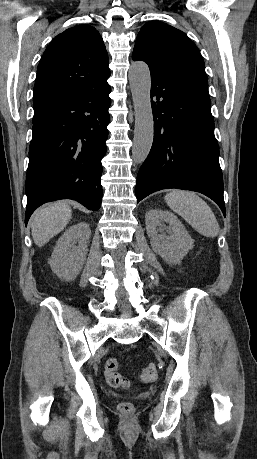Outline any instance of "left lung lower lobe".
<instances>
[{"instance_id":"1","label":"left lung lower lobe","mask_w":257,"mask_h":459,"mask_svg":"<svg viewBox=\"0 0 257 459\" xmlns=\"http://www.w3.org/2000/svg\"><path fill=\"white\" fill-rule=\"evenodd\" d=\"M151 81L154 140L137 175V202L166 188L192 190L214 200L225 215L207 79L151 74Z\"/></svg>"}]
</instances>
